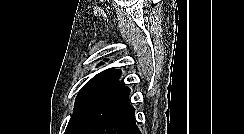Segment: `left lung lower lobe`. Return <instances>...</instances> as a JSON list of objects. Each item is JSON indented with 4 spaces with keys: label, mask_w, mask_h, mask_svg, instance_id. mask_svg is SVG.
Here are the masks:
<instances>
[{
    "label": "left lung lower lobe",
    "mask_w": 244,
    "mask_h": 134,
    "mask_svg": "<svg viewBox=\"0 0 244 134\" xmlns=\"http://www.w3.org/2000/svg\"><path fill=\"white\" fill-rule=\"evenodd\" d=\"M94 134H141L135 123V108L127 104L104 121Z\"/></svg>",
    "instance_id": "obj_1"
}]
</instances>
